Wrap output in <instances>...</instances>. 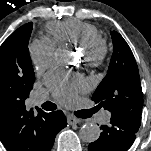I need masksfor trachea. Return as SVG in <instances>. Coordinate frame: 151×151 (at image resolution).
<instances>
[{
	"label": "trachea",
	"instance_id": "obj_1",
	"mask_svg": "<svg viewBox=\"0 0 151 151\" xmlns=\"http://www.w3.org/2000/svg\"><path fill=\"white\" fill-rule=\"evenodd\" d=\"M42 108L46 111H52L56 109V105L52 102H46L42 105Z\"/></svg>",
	"mask_w": 151,
	"mask_h": 151
}]
</instances>
